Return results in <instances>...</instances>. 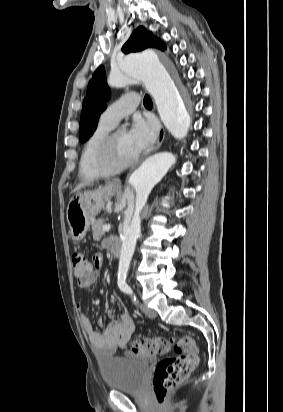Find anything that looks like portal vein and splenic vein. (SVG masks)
<instances>
[{
	"instance_id": "1",
	"label": "portal vein and splenic vein",
	"mask_w": 283,
	"mask_h": 412,
	"mask_svg": "<svg viewBox=\"0 0 283 412\" xmlns=\"http://www.w3.org/2000/svg\"><path fill=\"white\" fill-rule=\"evenodd\" d=\"M111 229V225L110 224H106L102 227L103 232H107Z\"/></svg>"
}]
</instances>
